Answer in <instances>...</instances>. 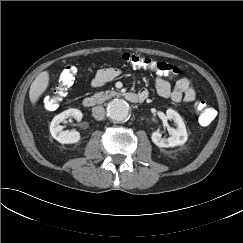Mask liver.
<instances>
[{
  "label": "liver",
  "instance_id": "1",
  "mask_svg": "<svg viewBox=\"0 0 243 243\" xmlns=\"http://www.w3.org/2000/svg\"><path fill=\"white\" fill-rule=\"evenodd\" d=\"M49 85V72H41L32 82L29 91V98L33 105L39 100L40 96L46 91Z\"/></svg>",
  "mask_w": 243,
  "mask_h": 243
}]
</instances>
